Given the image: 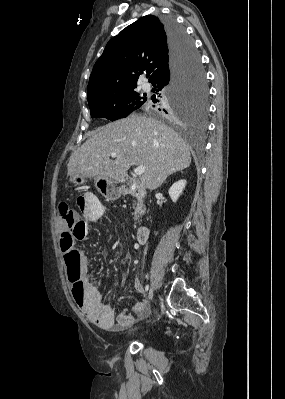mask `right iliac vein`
I'll return each mask as SVG.
<instances>
[{
  "label": "right iliac vein",
  "instance_id": "63e3f726",
  "mask_svg": "<svg viewBox=\"0 0 285 399\" xmlns=\"http://www.w3.org/2000/svg\"><path fill=\"white\" fill-rule=\"evenodd\" d=\"M153 296H154V287H152V288L149 290V293H148V301H151V300L153 299Z\"/></svg>",
  "mask_w": 285,
  "mask_h": 399
}]
</instances>
